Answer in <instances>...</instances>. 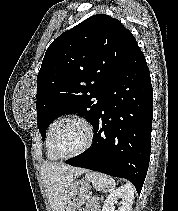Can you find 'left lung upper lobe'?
I'll use <instances>...</instances> for the list:
<instances>
[{
  "label": "left lung upper lobe",
  "mask_w": 178,
  "mask_h": 211,
  "mask_svg": "<svg viewBox=\"0 0 178 211\" xmlns=\"http://www.w3.org/2000/svg\"><path fill=\"white\" fill-rule=\"evenodd\" d=\"M132 33L105 14L93 15L62 33L48 47L37 76V125L65 113L94 124L109 84L137 47Z\"/></svg>",
  "instance_id": "5c2ea615"
}]
</instances>
